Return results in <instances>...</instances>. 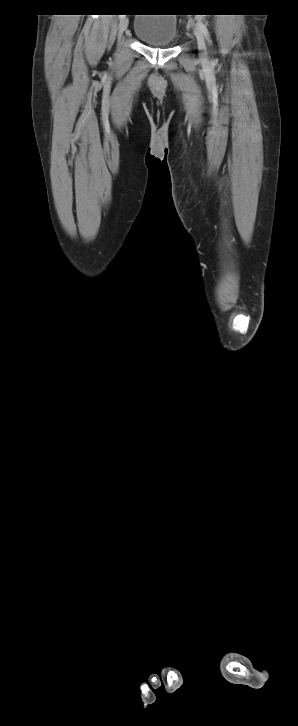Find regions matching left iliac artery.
<instances>
[{"mask_svg": "<svg viewBox=\"0 0 298 726\" xmlns=\"http://www.w3.org/2000/svg\"><path fill=\"white\" fill-rule=\"evenodd\" d=\"M197 24H198L199 29L201 30V32L203 33V35L207 39L208 43L211 44V39H210L209 31H208V28L206 27V25L202 21H198Z\"/></svg>", "mask_w": 298, "mask_h": 726, "instance_id": "left-iliac-artery-1", "label": "left iliac artery"}]
</instances>
